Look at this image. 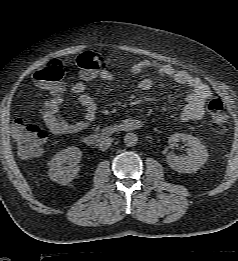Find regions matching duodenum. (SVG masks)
<instances>
[{
	"mask_svg": "<svg viewBox=\"0 0 238 261\" xmlns=\"http://www.w3.org/2000/svg\"><path fill=\"white\" fill-rule=\"evenodd\" d=\"M135 128H136L135 124L128 122V121H124L122 123L106 126L99 131L90 133L83 137V141L87 145L95 146V145L109 139L110 137H112L113 135H115L117 133L127 132V131L133 130Z\"/></svg>",
	"mask_w": 238,
	"mask_h": 261,
	"instance_id": "410a0bca",
	"label": "duodenum"
}]
</instances>
